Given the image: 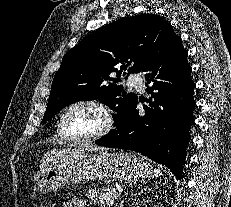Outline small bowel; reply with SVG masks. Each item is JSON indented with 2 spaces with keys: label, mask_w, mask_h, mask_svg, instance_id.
<instances>
[{
  "label": "small bowel",
  "mask_w": 231,
  "mask_h": 207,
  "mask_svg": "<svg viewBox=\"0 0 231 207\" xmlns=\"http://www.w3.org/2000/svg\"><path fill=\"white\" fill-rule=\"evenodd\" d=\"M63 207H86L84 200L80 197H75L63 204Z\"/></svg>",
  "instance_id": "c3829d8e"
}]
</instances>
